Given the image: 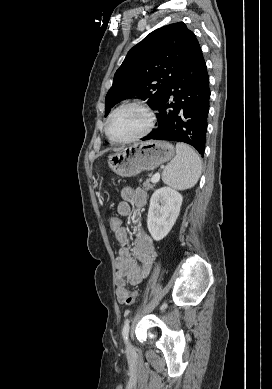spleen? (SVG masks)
I'll return each instance as SVG.
<instances>
[{
  "instance_id": "obj_1",
  "label": "spleen",
  "mask_w": 272,
  "mask_h": 389,
  "mask_svg": "<svg viewBox=\"0 0 272 389\" xmlns=\"http://www.w3.org/2000/svg\"><path fill=\"white\" fill-rule=\"evenodd\" d=\"M201 168L199 155L189 145L177 143L176 156L165 167L162 180L175 189H189L198 182Z\"/></svg>"
}]
</instances>
